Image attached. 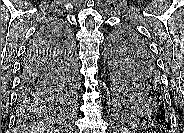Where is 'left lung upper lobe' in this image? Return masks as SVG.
<instances>
[{
    "label": "left lung upper lobe",
    "mask_w": 184,
    "mask_h": 133,
    "mask_svg": "<svg viewBox=\"0 0 184 133\" xmlns=\"http://www.w3.org/2000/svg\"><path fill=\"white\" fill-rule=\"evenodd\" d=\"M108 64L115 112L128 116L135 124L152 123V116L159 113V108L154 107V97L149 92L160 77L148 46L137 32L123 27L112 34ZM164 109L168 113L167 103Z\"/></svg>",
    "instance_id": "5c2ea615"
}]
</instances>
